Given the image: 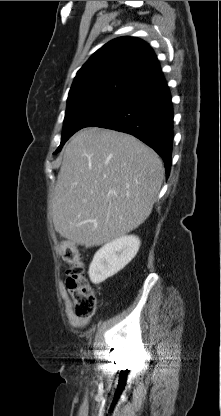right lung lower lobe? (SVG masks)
Instances as JSON below:
<instances>
[{
    "instance_id": "obj_1",
    "label": "right lung lower lobe",
    "mask_w": 221,
    "mask_h": 416,
    "mask_svg": "<svg viewBox=\"0 0 221 416\" xmlns=\"http://www.w3.org/2000/svg\"><path fill=\"white\" fill-rule=\"evenodd\" d=\"M94 126L134 135L162 157L166 177L169 176L172 162L173 109L164 80L130 93Z\"/></svg>"
}]
</instances>
